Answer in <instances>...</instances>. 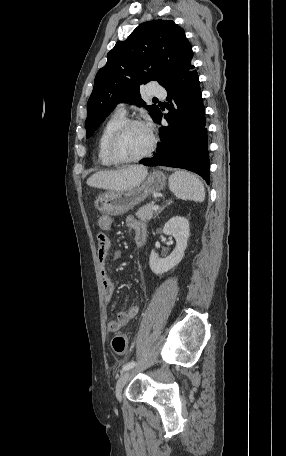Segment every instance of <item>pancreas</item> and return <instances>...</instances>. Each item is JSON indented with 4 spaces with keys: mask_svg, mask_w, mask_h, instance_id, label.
<instances>
[{
    "mask_svg": "<svg viewBox=\"0 0 286 456\" xmlns=\"http://www.w3.org/2000/svg\"><path fill=\"white\" fill-rule=\"evenodd\" d=\"M155 206L154 202L144 205L143 207L139 208L136 212V217L141 221L150 220L154 215L153 207Z\"/></svg>",
    "mask_w": 286,
    "mask_h": 456,
    "instance_id": "obj_1",
    "label": "pancreas"
}]
</instances>
